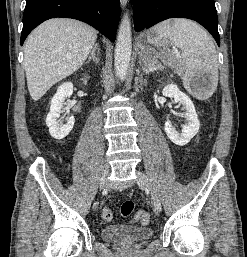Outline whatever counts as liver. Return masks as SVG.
Instances as JSON below:
<instances>
[{
    "mask_svg": "<svg viewBox=\"0 0 247 257\" xmlns=\"http://www.w3.org/2000/svg\"><path fill=\"white\" fill-rule=\"evenodd\" d=\"M96 39L93 27L74 19H50L35 28L24 46V67L32 99L39 100L55 83L77 71Z\"/></svg>",
    "mask_w": 247,
    "mask_h": 257,
    "instance_id": "6515ba94",
    "label": "liver"
}]
</instances>
